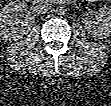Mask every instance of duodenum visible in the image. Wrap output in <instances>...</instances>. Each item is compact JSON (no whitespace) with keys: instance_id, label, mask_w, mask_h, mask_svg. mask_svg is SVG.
<instances>
[{"instance_id":"duodenum-1","label":"duodenum","mask_w":111,"mask_h":106,"mask_svg":"<svg viewBox=\"0 0 111 106\" xmlns=\"http://www.w3.org/2000/svg\"><path fill=\"white\" fill-rule=\"evenodd\" d=\"M71 0H65L64 2H70Z\"/></svg>"}]
</instances>
